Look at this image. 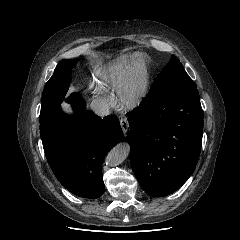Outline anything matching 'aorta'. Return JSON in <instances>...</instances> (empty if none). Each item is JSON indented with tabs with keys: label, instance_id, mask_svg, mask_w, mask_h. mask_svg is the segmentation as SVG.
I'll use <instances>...</instances> for the list:
<instances>
[{
	"label": "aorta",
	"instance_id": "aorta-1",
	"mask_svg": "<svg viewBox=\"0 0 240 240\" xmlns=\"http://www.w3.org/2000/svg\"><path fill=\"white\" fill-rule=\"evenodd\" d=\"M129 154V146L126 143L116 145L107 156V162L112 165L121 164Z\"/></svg>",
	"mask_w": 240,
	"mask_h": 240
}]
</instances>
